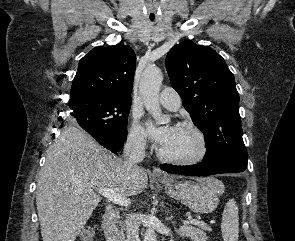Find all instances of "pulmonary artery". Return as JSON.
Listing matches in <instances>:
<instances>
[{
    "mask_svg": "<svg viewBox=\"0 0 295 241\" xmlns=\"http://www.w3.org/2000/svg\"><path fill=\"white\" fill-rule=\"evenodd\" d=\"M158 100L162 106L171 111H176L181 106V97L173 88H164L159 94Z\"/></svg>",
    "mask_w": 295,
    "mask_h": 241,
    "instance_id": "e3ab8cb5",
    "label": "pulmonary artery"
}]
</instances>
